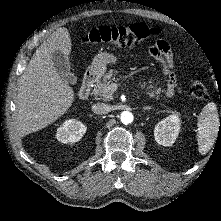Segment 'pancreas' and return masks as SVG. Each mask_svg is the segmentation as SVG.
Returning a JSON list of instances; mask_svg holds the SVG:
<instances>
[{
    "mask_svg": "<svg viewBox=\"0 0 221 221\" xmlns=\"http://www.w3.org/2000/svg\"><path fill=\"white\" fill-rule=\"evenodd\" d=\"M116 75V72L110 71L108 74H105L102 81H99L95 84L93 89V94L97 97L99 96L104 101L112 100L113 90L110 88L113 81L116 79L113 77ZM149 88H153L151 91L147 92V95L150 98H155L156 100L160 99V93L162 90L160 88H155L154 86H150Z\"/></svg>",
    "mask_w": 221,
    "mask_h": 221,
    "instance_id": "obj_1",
    "label": "pancreas"
}]
</instances>
